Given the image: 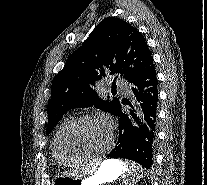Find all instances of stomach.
Here are the masks:
<instances>
[{
  "label": "stomach",
  "instance_id": "stomach-1",
  "mask_svg": "<svg viewBox=\"0 0 207 185\" xmlns=\"http://www.w3.org/2000/svg\"><path fill=\"white\" fill-rule=\"evenodd\" d=\"M125 172V164L122 161L108 159L102 162L98 171L91 177L77 179L60 175L56 177L52 185H101L113 182Z\"/></svg>",
  "mask_w": 207,
  "mask_h": 185
}]
</instances>
